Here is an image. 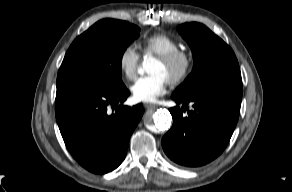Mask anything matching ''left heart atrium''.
Instances as JSON below:
<instances>
[{"mask_svg": "<svg viewBox=\"0 0 292 192\" xmlns=\"http://www.w3.org/2000/svg\"><path fill=\"white\" fill-rule=\"evenodd\" d=\"M168 80L159 73L140 77L131 86V93L137 102H153L166 92Z\"/></svg>", "mask_w": 292, "mask_h": 192, "instance_id": "left-heart-atrium-1", "label": "left heart atrium"}]
</instances>
